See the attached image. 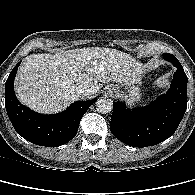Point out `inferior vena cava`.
Wrapping results in <instances>:
<instances>
[{
    "label": "inferior vena cava",
    "mask_w": 195,
    "mask_h": 195,
    "mask_svg": "<svg viewBox=\"0 0 195 195\" xmlns=\"http://www.w3.org/2000/svg\"><path fill=\"white\" fill-rule=\"evenodd\" d=\"M74 92L78 95V96H87L90 93V90L87 86L85 85H81L78 87H75Z\"/></svg>",
    "instance_id": "602c4592"
}]
</instances>
